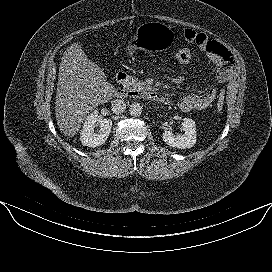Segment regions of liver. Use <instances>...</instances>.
Listing matches in <instances>:
<instances>
[{
	"instance_id": "1",
	"label": "liver",
	"mask_w": 272,
	"mask_h": 272,
	"mask_svg": "<svg viewBox=\"0 0 272 272\" xmlns=\"http://www.w3.org/2000/svg\"><path fill=\"white\" fill-rule=\"evenodd\" d=\"M55 115L58 128L65 136L80 131L87 115L98 105L108 102L115 89L107 82L102 68L90 61L78 43L63 54L59 66Z\"/></svg>"
}]
</instances>
